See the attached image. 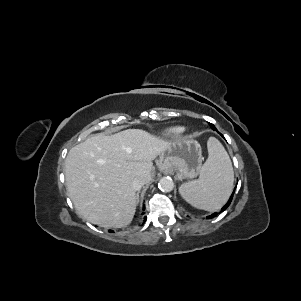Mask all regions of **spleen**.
<instances>
[{"label": "spleen", "instance_id": "3e777b00", "mask_svg": "<svg viewBox=\"0 0 301 301\" xmlns=\"http://www.w3.org/2000/svg\"><path fill=\"white\" fill-rule=\"evenodd\" d=\"M208 159L197 180L183 183L180 195L193 207L216 211L228 200L234 181V172L223 145L214 137L207 142Z\"/></svg>", "mask_w": 301, "mask_h": 301}]
</instances>
